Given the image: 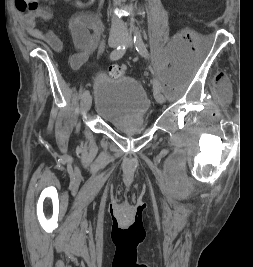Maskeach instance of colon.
<instances>
[{"mask_svg": "<svg viewBox=\"0 0 253 267\" xmlns=\"http://www.w3.org/2000/svg\"><path fill=\"white\" fill-rule=\"evenodd\" d=\"M15 4L20 11L34 10L38 6V0H15ZM109 71L113 77H122L126 73V66L115 64L110 67Z\"/></svg>", "mask_w": 253, "mask_h": 267, "instance_id": "5ec220e1", "label": "colon"}]
</instances>
